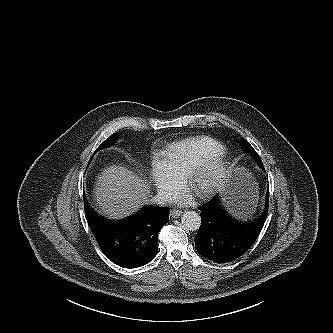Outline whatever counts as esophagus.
Wrapping results in <instances>:
<instances>
[{"label":"esophagus","mask_w":333,"mask_h":333,"mask_svg":"<svg viewBox=\"0 0 333 333\" xmlns=\"http://www.w3.org/2000/svg\"><path fill=\"white\" fill-rule=\"evenodd\" d=\"M181 214H182V211H181V210H176V209H173V210H171V212H170V216H171L172 218H177V217H179Z\"/></svg>","instance_id":"34e87169"}]
</instances>
